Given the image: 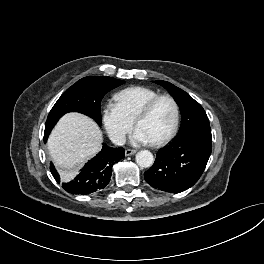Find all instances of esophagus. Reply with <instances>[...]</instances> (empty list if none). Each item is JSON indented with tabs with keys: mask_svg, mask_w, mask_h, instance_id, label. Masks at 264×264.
<instances>
[{
	"mask_svg": "<svg viewBox=\"0 0 264 264\" xmlns=\"http://www.w3.org/2000/svg\"><path fill=\"white\" fill-rule=\"evenodd\" d=\"M137 151L135 149H126L125 150V155L126 156H131L134 155Z\"/></svg>",
	"mask_w": 264,
	"mask_h": 264,
	"instance_id": "obj_1",
	"label": "esophagus"
}]
</instances>
